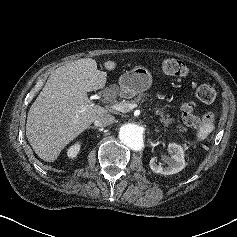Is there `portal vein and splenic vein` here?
I'll return each mask as SVG.
<instances>
[{
    "mask_svg": "<svg viewBox=\"0 0 237 237\" xmlns=\"http://www.w3.org/2000/svg\"><path fill=\"white\" fill-rule=\"evenodd\" d=\"M136 107H137V104H130V103H116L110 106V108H112L113 110H116L122 113L129 112L130 110Z\"/></svg>",
    "mask_w": 237,
    "mask_h": 237,
    "instance_id": "obj_1",
    "label": "portal vein and splenic vein"
}]
</instances>
